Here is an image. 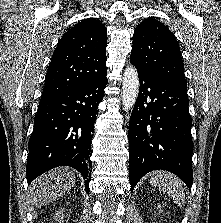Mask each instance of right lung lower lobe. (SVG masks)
Instances as JSON below:
<instances>
[{
	"mask_svg": "<svg viewBox=\"0 0 221 223\" xmlns=\"http://www.w3.org/2000/svg\"><path fill=\"white\" fill-rule=\"evenodd\" d=\"M106 74L65 93L40 100L28 147L26 166L30 183L57 166H70L85 179L88 193L92 162L91 139Z\"/></svg>",
	"mask_w": 221,
	"mask_h": 223,
	"instance_id": "98d812e1",
	"label": "right lung lower lobe"
}]
</instances>
